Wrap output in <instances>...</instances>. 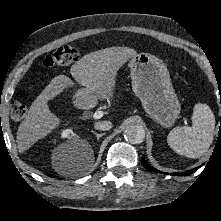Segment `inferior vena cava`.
Instances as JSON below:
<instances>
[{
	"label": "inferior vena cava",
	"mask_w": 221,
	"mask_h": 221,
	"mask_svg": "<svg viewBox=\"0 0 221 221\" xmlns=\"http://www.w3.org/2000/svg\"><path fill=\"white\" fill-rule=\"evenodd\" d=\"M94 127L97 130L107 131V130H110L112 128V123L110 121L96 122L94 124Z\"/></svg>",
	"instance_id": "602c4592"
}]
</instances>
